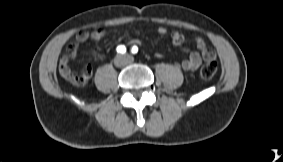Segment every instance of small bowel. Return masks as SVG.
Returning <instances> with one entry per match:
<instances>
[{
  "mask_svg": "<svg viewBox=\"0 0 283 162\" xmlns=\"http://www.w3.org/2000/svg\"><path fill=\"white\" fill-rule=\"evenodd\" d=\"M157 32L160 35H166L167 29L163 26H159L157 28ZM104 35L105 31L102 28L95 29L92 32L80 31L79 33H77L75 40L68 45L65 54L61 58L60 66H68V61L76 57L79 45L81 43L85 42L88 39L100 41L101 39H103ZM184 39V35L178 31H173L170 33L171 43L175 46H181L184 42ZM130 43L139 44L140 41L137 39H131ZM194 43L197 47V50L182 48V51L187 55V58L182 61L181 67L183 70L189 72L197 70L202 60H206L209 56H213L215 58V53L206 46L203 38L195 37ZM155 56L157 58H161L162 54L156 53ZM94 57L97 59H103L105 58V54L94 53Z\"/></svg>",
  "mask_w": 283,
  "mask_h": 162,
  "instance_id": "1",
  "label": "small bowel"
}]
</instances>
